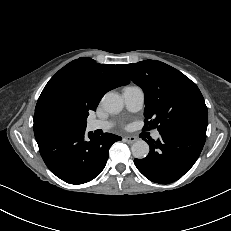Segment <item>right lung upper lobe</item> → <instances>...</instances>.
<instances>
[{"label": "right lung upper lobe", "instance_id": "cb5924a9", "mask_svg": "<svg viewBox=\"0 0 231 231\" xmlns=\"http://www.w3.org/2000/svg\"><path fill=\"white\" fill-rule=\"evenodd\" d=\"M129 82L120 72L119 65L97 64L89 57L68 63L49 80L37 101L34 114L36 140L48 135L46 120L54 106L67 104L80 120H86L89 111L96 110L106 92Z\"/></svg>", "mask_w": 231, "mask_h": 231}]
</instances>
